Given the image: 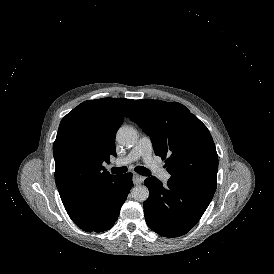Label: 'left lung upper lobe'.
<instances>
[{"instance_id": "obj_1", "label": "left lung upper lobe", "mask_w": 274, "mask_h": 274, "mask_svg": "<svg viewBox=\"0 0 274 274\" xmlns=\"http://www.w3.org/2000/svg\"><path fill=\"white\" fill-rule=\"evenodd\" d=\"M126 116L151 138L170 179L215 190L218 155L207 127L182 104L136 100Z\"/></svg>"}]
</instances>
